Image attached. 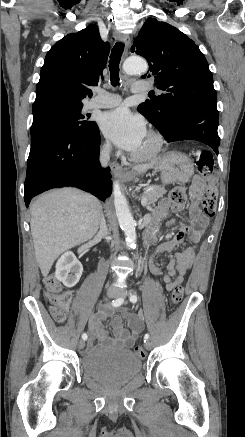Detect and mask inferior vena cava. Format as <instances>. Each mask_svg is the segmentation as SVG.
I'll return each instance as SVG.
<instances>
[{
	"label": "inferior vena cava",
	"mask_w": 245,
	"mask_h": 437,
	"mask_svg": "<svg viewBox=\"0 0 245 437\" xmlns=\"http://www.w3.org/2000/svg\"><path fill=\"white\" fill-rule=\"evenodd\" d=\"M110 150H111V144H106L103 151L101 152L100 160L103 166H106L108 164V161L110 159ZM99 226H100V232L106 235L108 232V228L103 215H101Z\"/></svg>",
	"instance_id": "inferior-vena-cava-1"
}]
</instances>
